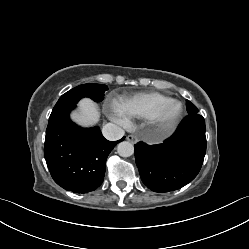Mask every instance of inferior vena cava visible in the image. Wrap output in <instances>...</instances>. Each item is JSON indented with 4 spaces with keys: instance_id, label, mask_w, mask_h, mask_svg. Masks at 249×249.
Instances as JSON below:
<instances>
[{
    "instance_id": "602c4592",
    "label": "inferior vena cava",
    "mask_w": 249,
    "mask_h": 249,
    "mask_svg": "<svg viewBox=\"0 0 249 249\" xmlns=\"http://www.w3.org/2000/svg\"><path fill=\"white\" fill-rule=\"evenodd\" d=\"M103 136L111 141L119 140L124 136V130L113 123H107L102 128Z\"/></svg>"
}]
</instances>
